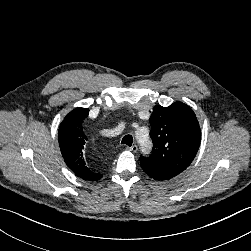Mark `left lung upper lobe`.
<instances>
[{
	"label": "left lung upper lobe",
	"instance_id": "1",
	"mask_svg": "<svg viewBox=\"0 0 251 251\" xmlns=\"http://www.w3.org/2000/svg\"><path fill=\"white\" fill-rule=\"evenodd\" d=\"M153 153L140 157L141 164L160 171L183 172L199 149L201 131L193 110L182 102L157 105L150 117Z\"/></svg>",
	"mask_w": 251,
	"mask_h": 251
}]
</instances>
